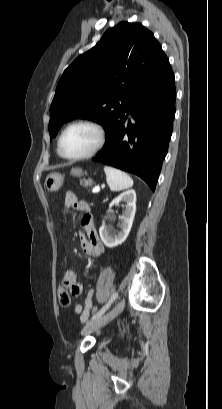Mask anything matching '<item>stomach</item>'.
Segmentation results:
<instances>
[{
	"mask_svg": "<svg viewBox=\"0 0 222 409\" xmlns=\"http://www.w3.org/2000/svg\"><path fill=\"white\" fill-rule=\"evenodd\" d=\"M70 173L73 176L80 177L82 175V169L72 168ZM63 182H64V175L57 173V172H52L46 176L45 181H44V187L48 192H54V191L59 190Z\"/></svg>",
	"mask_w": 222,
	"mask_h": 409,
	"instance_id": "obj_1",
	"label": "stomach"
}]
</instances>
